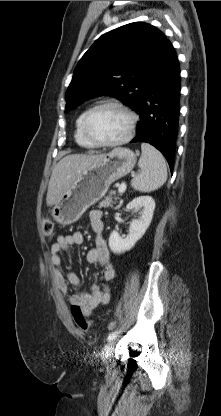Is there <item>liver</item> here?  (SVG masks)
I'll return each instance as SVG.
<instances>
[{
  "label": "liver",
  "mask_w": 221,
  "mask_h": 416,
  "mask_svg": "<svg viewBox=\"0 0 221 416\" xmlns=\"http://www.w3.org/2000/svg\"><path fill=\"white\" fill-rule=\"evenodd\" d=\"M104 156L105 154H70L62 158L52 170L46 197L47 206L55 205L76 177Z\"/></svg>",
  "instance_id": "liver-1"
}]
</instances>
